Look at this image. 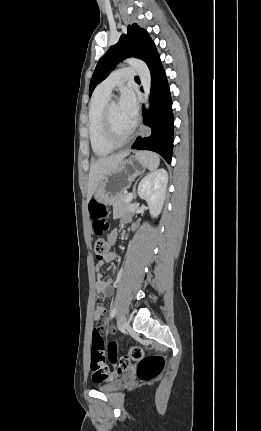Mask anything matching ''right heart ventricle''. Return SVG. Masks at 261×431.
<instances>
[{"label": "right heart ventricle", "mask_w": 261, "mask_h": 431, "mask_svg": "<svg viewBox=\"0 0 261 431\" xmlns=\"http://www.w3.org/2000/svg\"><path fill=\"white\" fill-rule=\"evenodd\" d=\"M109 95L95 91L88 112V133L93 153L98 157L111 154L115 148L108 145L103 137L102 113Z\"/></svg>", "instance_id": "e07e8e85"}]
</instances>
